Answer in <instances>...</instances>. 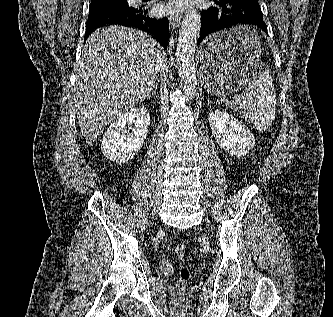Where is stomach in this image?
Instances as JSON below:
<instances>
[{
	"instance_id": "obj_1",
	"label": "stomach",
	"mask_w": 333,
	"mask_h": 317,
	"mask_svg": "<svg viewBox=\"0 0 333 317\" xmlns=\"http://www.w3.org/2000/svg\"><path fill=\"white\" fill-rule=\"evenodd\" d=\"M260 51L259 33L252 24H231V29L206 33L200 49L203 81H199V88L224 96L249 82H270L254 81V74H264L260 70L266 69V62H260Z\"/></svg>"
}]
</instances>
